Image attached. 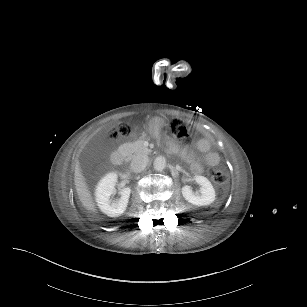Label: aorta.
I'll return each mask as SVG.
<instances>
[{
	"label": "aorta",
	"mask_w": 307,
	"mask_h": 307,
	"mask_svg": "<svg viewBox=\"0 0 307 307\" xmlns=\"http://www.w3.org/2000/svg\"><path fill=\"white\" fill-rule=\"evenodd\" d=\"M166 164L164 157H157L153 162V168L157 172H162L166 168Z\"/></svg>",
	"instance_id": "aorta-1"
}]
</instances>
